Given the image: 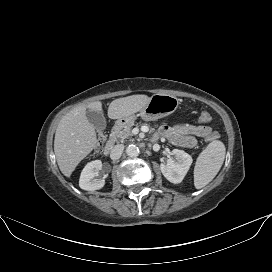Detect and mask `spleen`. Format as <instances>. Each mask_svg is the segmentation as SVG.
<instances>
[{
    "instance_id": "1",
    "label": "spleen",
    "mask_w": 272,
    "mask_h": 272,
    "mask_svg": "<svg viewBox=\"0 0 272 272\" xmlns=\"http://www.w3.org/2000/svg\"><path fill=\"white\" fill-rule=\"evenodd\" d=\"M225 146L214 140L200 153L194 168V185L197 189L206 186L219 172L225 158Z\"/></svg>"
}]
</instances>
